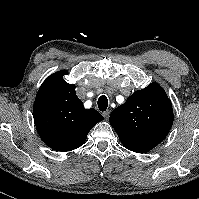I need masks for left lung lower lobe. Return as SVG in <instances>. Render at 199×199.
<instances>
[{"label": "left lung lower lobe", "mask_w": 199, "mask_h": 199, "mask_svg": "<svg viewBox=\"0 0 199 199\" xmlns=\"http://www.w3.org/2000/svg\"><path fill=\"white\" fill-rule=\"evenodd\" d=\"M122 144L129 150L137 153H146L153 149L156 145L143 140H138L127 135L118 134Z\"/></svg>", "instance_id": "left-lung-lower-lobe-1"}]
</instances>
